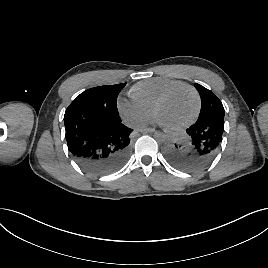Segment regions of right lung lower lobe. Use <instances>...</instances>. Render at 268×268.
Instances as JSON below:
<instances>
[{
  "label": "right lung lower lobe",
  "mask_w": 268,
  "mask_h": 268,
  "mask_svg": "<svg viewBox=\"0 0 268 268\" xmlns=\"http://www.w3.org/2000/svg\"><path fill=\"white\" fill-rule=\"evenodd\" d=\"M68 150L87 172L103 176L119 170L130 154L132 129L119 114L81 108L64 115Z\"/></svg>",
  "instance_id": "obj_1"
}]
</instances>
